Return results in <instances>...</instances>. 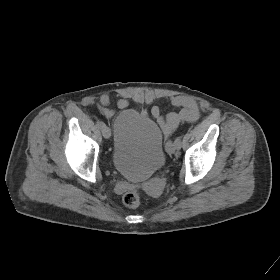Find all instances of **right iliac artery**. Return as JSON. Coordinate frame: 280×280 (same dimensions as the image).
<instances>
[{
    "mask_svg": "<svg viewBox=\"0 0 280 280\" xmlns=\"http://www.w3.org/2000/svg\"><path fill=\"white\" fill-rule=\"evenodd\" d=\"M96 126H97L98 128H103V127L105 126V124H104V122L98 120V121L96 122Z\"/></svg>",
    "mask_w": 280,
    "mask_h": 280,
    "instance_id": "right-iliac-artery-1",
    "label": "right iliac artery"
}]
</instances>
